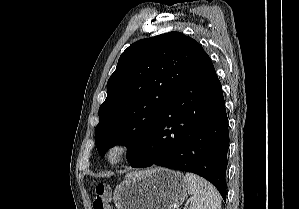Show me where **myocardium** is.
Masks as SVG:
<instances>
[{
	"label": "myocardium",
	"instance_id": "myocardium-1",
	"mask_svg": "<svg viewBox=\"0 0 299 209\" xmlns=\"http://www.w3.org/2000/svg\"><path fill=\"white\" fill-rule=\"evenodd\" d=\"M132 152L133 146L129 141L116 139L107 146L105 150V161L109 166H120L127 162ZM113 154H115V156Z\"/></svg>",
	"mask_w": 299,
	"mask_h": 209
}]
</instances>
